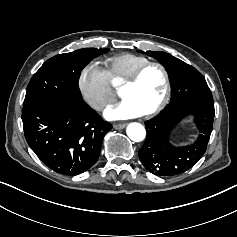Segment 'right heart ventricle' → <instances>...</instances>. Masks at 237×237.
I'll use <instances>...</instances> for the list:
<instances>
[{
    "mask_svg": "<svg viewBox=\"0 0 237 237\" xmlns=\"http://www.w3.org/2000/svg\"><path fill=\"white\" fill-rule=\"evenodd\" d=\"M150 62L143 56L122 53L105 61V71L114 84H123L138 68Z\"/></svg>",
    "mask_w": 237,
    "mask_h": 237,
    "instance_id": "right-heart-ventricle-1",
    "label": "right heart ventricle"
}]
</instances>
